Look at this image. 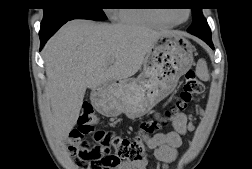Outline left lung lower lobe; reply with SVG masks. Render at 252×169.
I'll list each match as a JSON object with an SVG mask.
<instances>
[{
	"instance_id": "1",
	"label": "left lung lower lobe",
	"mask_w": 252,
	"mask_h": 169,
	"mask_svg": "<svg viewBox=\"0 0 252 169\" xmlns=\"http://www.w3.org/2000/svg\"><path fill=\"white\" fill-rule=\"evenodd\" d=\"M189 33L201 38L202 40H204L206 43L209 44V46L214 49L213 43H212V39H211V33L209 31H204V32H197V31H191V30H187Z\"/></svg>"
}]
</instances>
